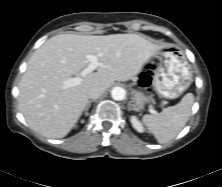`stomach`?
Listing matches in <instances>:
<instances>
[{
  "label": "stomach",
  "mask_w": 222,
  "mask_h": 187,
  "mask_svg": "<svg viewBox=\"0 0 222 187\" xmlns=\"http://www.w3.org/2000/svg\"><path fill=\"white\" fill-rule=\"evenodd\" d=\"M156 57L159 63L153 83L157 92L168 99L178 98L192 83V71L186 56L178 46L162 44ZM150 101V96L137 90L132 100L133 109L142 110Z\"/></svg>",
  "instance_id": "0dacf381"
}]
</instances>
